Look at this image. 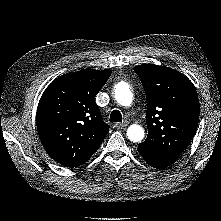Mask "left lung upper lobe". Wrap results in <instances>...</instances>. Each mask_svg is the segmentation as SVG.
Returning <instances> with one entry per match:
<instances>
[{
    "instance_id": "1",
    "label": "left lung upper lobe",
    "mask_w": 221,
    "mask_h": 221,
    "mask_svg": "<svg viewBox=\"0 0 221 221\" xmlns=\"http://www.w3.org/2000/svg\"><path fill=\"white\" fill-rule=\"evenodd\" d=\"M147 98L148 135L138 144L140 154L171 165L191 142L199 121V99L194 84L165 66L134 67Z\"/></svg>"
}]
</instances>
